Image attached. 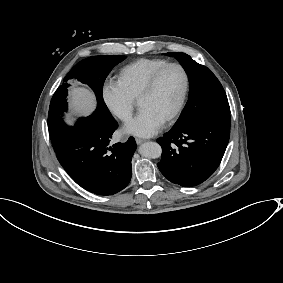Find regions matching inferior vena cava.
<instances>
[{
  "label": "inferior vena cava",
  "instance_id": "inferior-vena-cava-1",
  "mask_svg": "<svg viewBox=\"0 0 283 283\" xmlns=\"http://www.w3.org/2000/svg\"><path fill=\"white\" fill-rule=\"evenodd\" d=\"M118 117L122 120V121H127L128 119L132 118V112L130 110H121L118 114Z\"/></svg>",
  "mask_w": 283,
  "mask_h": 283
}]
</instances>
